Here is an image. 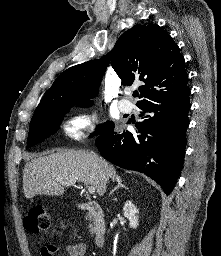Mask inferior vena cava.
Masks as SVG:
<instances>
[{
  "mask_svg": "<svg viewBox=\"0 0 221 256\" xmlns=\"http://www.w3.org/2000/svg\"><path fill=\"white\" fill-rule=\"evenodd\" d=\"M105 181L107 182V181H108V178H106Z\"/></svg>",
  "mask_w": 221,
  "mask_h": 256,
  "instance_id": "obj_1",
  "label": "inferior vena cava"
}]
</instances>
